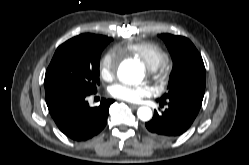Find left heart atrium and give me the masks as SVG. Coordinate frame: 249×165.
I'll list each match as a JSON object with an SVG mask.
<instances>
[{
    "instance_id": "obj_1",
    "label": "left heart atrium",
    "mask_w": 249,
    "mask_h": 165,
    "mask_svg": "<svg viewBox=\"0 0 249 165\" xmlns=\"http://www.w3.org/2000/svg\"><path fill=\"white\" fill-rule=\"evenodd\" d=\"M148 86H131L126 84H115L111 87V95L127 102H139L150 94Z\"/></svg>"
}]
</instances>
